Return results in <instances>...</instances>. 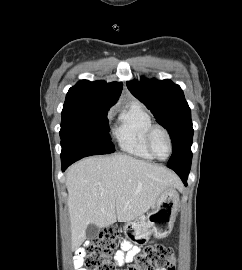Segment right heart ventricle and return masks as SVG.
<instances>
[{"mask_svg":"<svg viewBox=\"0 0 242 270\" xmlns=\"http://www.w3.org/2000/svg\"><path fill=\"white\" fill-rule=\"evenodd\" d=\"M152 125L150 113L141 104L131 103L121 112L113 131L120 149L136 157L153 160L146 145V136Z\"/></svg>","mask_w":242,"mask_h":270,"instance_id":"obj_1","label":"right heart ventricle"}]
</instances>
